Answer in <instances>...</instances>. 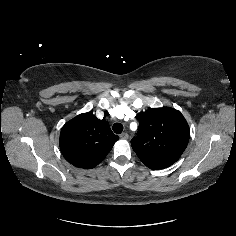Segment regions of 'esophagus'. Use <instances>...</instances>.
I'll return each instance as SVG.
<instances>
[{
    "mask_svg": "<svg viewBox=\"0 0 236 236\" xmlns=\"http://www.w3.org/2000/svg\"><path fill=\"white\" fill-rule=\"evenodd\" d=\"M120 138H121L122 140H127V139L129 138V135L124 132V133L120 134Z\"/></svg>",
    "mask_w": 236,
    "mask_h": 236,
    "instance_id": "obj_1",
    "label": "esophagus"
}]
</instances>
